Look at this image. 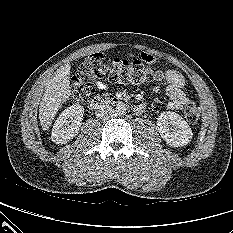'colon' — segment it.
<instances>
[{
    "instance_id": "5ec220e1",
    "label": "colon",
    "mask_w": 233,
    "mask_h": 233,
    "mask_svg": "<svg viewBox=\"0 0 233 233\" xmlns=\"http://www.w3.org/2000/svg\"><path fill=\"white\" fill-rule=\"evenodd\" d=\"M144 60L128 61L109 58L103 53H93L80 64L71 82V99L82 102L93 92V81L106 79L112 83L143 84L160 80L163 73L146 65ZM186 120L195 124L200 117V110L194 103H188L184 109Z\"/></svg>"
}]
</instances>
